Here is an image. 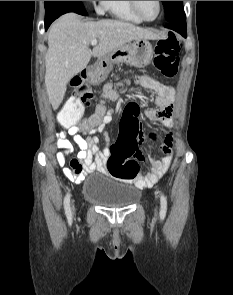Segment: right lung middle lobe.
Wrapping results in <instances>:
<instances>
[{
  "instance_id": "right-lung-middle-lobe-1",
  "label": "right lung middle lobe",
  "mask_w": 233,
  "mask_h": 295,
  "mask_svg": "<svg viewBox=\"0 0 233 295\" xmlns=\"http://www.w3.org/2000/svg\"><path fill=\"white\" fill-rule=\"evenodd\" d=\"M64 2H69V1H45V8L56 6V5L64 3Z\"/></svg>"
}]
</instances>
